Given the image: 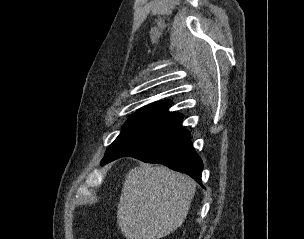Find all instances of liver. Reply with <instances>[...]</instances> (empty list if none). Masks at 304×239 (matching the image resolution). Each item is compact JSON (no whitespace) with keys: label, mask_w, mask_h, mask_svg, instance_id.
<instances>
[{"label":"liver","mask_w":304,"mask_h":239,"mask_svg":"<svg viewBox=\"0 0 304 239\" xmlns=\"http://www.w3.org/2000/svg\"><path fill=\"white\" fill-rule=\"evenodd\" d=\"M195 181L165 166L143 164L126 174L117 222L127 239H160L185 220Z\"/></svg>","instance_id":"liver-1"}]
</instances>
